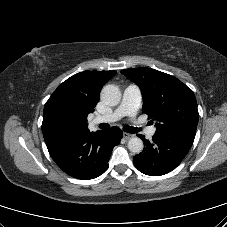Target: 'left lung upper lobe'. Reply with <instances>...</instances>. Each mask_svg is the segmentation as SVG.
<instances>
[{
	"mask_svg": "<svg viewBox=\"0 0 227 227\" xmlns=\"http://www.w3.org/2000/svg\"><path fill=\"white\" fill-rule=\"evenodd\" d=\"M121 73L140 87L143 111L157 122L156 131L195 138L199 114L190 88L174 76L151 68H129Z\"/></svg>",
	"mask_w": 227,
	"mask_h": 227,
	"instance_id": "1",
	"label": "left lung upper lobe"
}]
</instances>
